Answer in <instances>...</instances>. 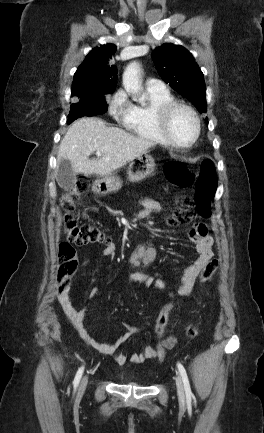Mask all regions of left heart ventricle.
<instances>
[{
	"label": "left heart ventricle",
	"instance_id": "obj_1",
	"mask_svg": "<svg viewBox=\"0 0 264 433\" xmlns=\"http://www.w3.org/2000/svg\"><path fill=\"white\" fill-rule=\"evenodd\" d=\"M195 130V121L187 110L179 109L173 114L170 121V132L178 143H189L194 137Z\"/></svg>",
	"mask_w": 264,
	"mask_h": 433
}]
</instances>
